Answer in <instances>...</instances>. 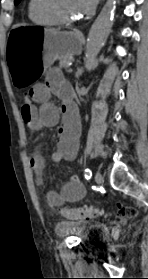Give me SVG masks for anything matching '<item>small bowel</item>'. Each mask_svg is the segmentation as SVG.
Masks as SVG:
<instances>
[{"instance_id":"obj_1","label":"small bowel","mask_w":148,"mask_h":279,"mask_svg":"<svg viewBox=\"0 0 148 279\" xmlns=\"http://www.w3.org/2000/svg\"><path fill=\"white\" fill-rule=\"evenodd\" d=\"M32 102L23 104L21 115L23 120L32 130L54 128L59 125L57 148L51 155L53 161H71L74 159L79 142L80 121L77 108L72 102V89L65 81L58 69H52L46 76L44 83H39L30 89ZM52 95H56L62 105L57 107L50 102ZM34 103L39 104L37 108ZM30 164L35 171L38 186H42V171L44 161L39 154L30 159ZM85 187L77 176H71L59 192L48 194L49 202L54 206L63 203L76 202L85 196Z\"/></svg>"}]
</instances>
